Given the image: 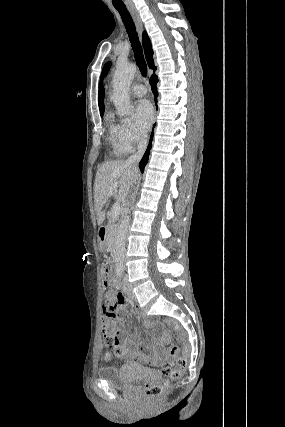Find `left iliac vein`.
I'll use <instances>...</instances> for the list:
<instances>
[{"label":"left iliac vein","mask_w":285,"mask_h":427,"mask_svg":"<svg viewBox=\"0 0 285 427\" xmlns=\"http://www.w3.org/2000/svg\"><path fill=\"white\" fill-rule=\"evenodd\" d=\"M123 281H124V290H125V293L128 294L130 297L133 298L135 295H134V292L132 291V288L128 284L126 277L124 278Z\"/></svg>","instance_id":"left-iliac-vein-1"}]
</instances>
